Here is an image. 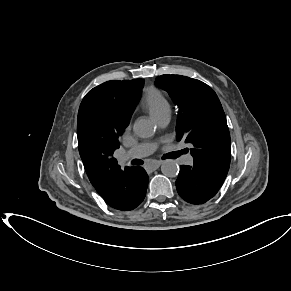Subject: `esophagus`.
I'll return each instance as SVG.
<instances>
[{
    "label": "esophagus",
    "mask_w": 291,
    "mask_h": 291,
    "mask_svg": "<svg viewBox=\"0 0 291 291\" xmlns=\"http://www.w3.org/2000/svg\"><path fill=\"white\" fill-rule=\"evenodd\" d=\"M161 164H162L161 161H155V162L149 164V165H148V168L151 169V170H155V169H157Z\"/></svg>",
    "instance_id": "34e87169"
}]
</instances>
